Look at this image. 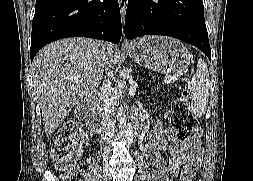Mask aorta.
<instances>
[{"instance_id":"762f6f07","label":"aorta","mask_w":253,"mask_h":181,"mask_svg":"<svg viewBox=\"0 0 253 181\" xmlns=\"http://www.w3.org/2000/svg\"><path fill=\"white\" fill-rule=\"evenodd\" d=\"M126 116H127V113L125 112V107H118V114H117V122L116 123V128H120V131L122 132V138L124 137L123 136V132L125 131V128H126V123H127V120H126ZM124 148L126 147L125 145L123 146Z\"/></svg>"}]
</instances>
